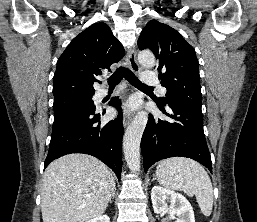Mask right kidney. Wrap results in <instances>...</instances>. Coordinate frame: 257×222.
<instances>
[{
  "label": "right kidney",
  "mask_w": 257,
  "mask_h": 222,
  "mask_svg": "<svg viewBox=\"0 0 257 222\" xmlns=\"http://www.w3.org/2000/svg\"><path fill=\"white\" fill-rule=\"evenodd\" d=\"M86 222H110V218L107 215H100Z\"/></svg>",
  "instance_id": "right-kidney-1"
}]
</instances>
